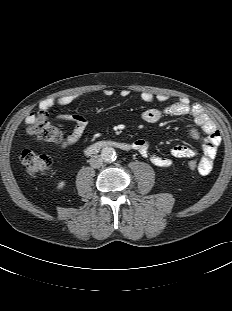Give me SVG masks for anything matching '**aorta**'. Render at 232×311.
<instances>
[{
    "label": "aorta",
    "instance_id": "obj_1",
    "mask_svg": "<svg viewBox=\"0 0 232 311\" xmlns=\"http://www.w3.org/2000/svg\"><path fill=\"white\" fill-rule=\"evenodd\" d=\"M101 157L105 162L112 163L116 160L117 154L114 148L104 147L101 151Z\"/></svg>",
    "mask_w": 232,
    "mask_h": 311
}]
</instances>
